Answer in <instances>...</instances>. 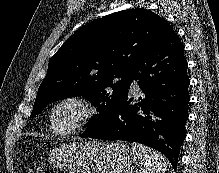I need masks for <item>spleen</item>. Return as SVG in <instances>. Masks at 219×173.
I'll return each instance as SVG.
<instances>
[{
  "instance_id": "1",
  "label": "spleen",
  "mask_w": 219,
  "mask_h": 173,
  "mask_svg": "<svg viewBox=\"0 0 219 173\" xmlns=\"http://www.w3.org/2000/svg\"><path fill=\"white\" fill-rule=\"evenodd\" d=\"M133 152L141 161L138 173H165L169 162L161 153L139 143H131Z\"/></svg>"
}]
</instances>
